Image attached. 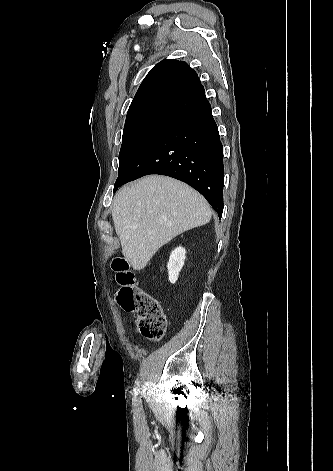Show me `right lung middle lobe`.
<instances>
[{
  "label": "right lung middle lobe",
  "instance_id": "1",
  "mask_svg": "<svg viewBox=\"0 0 333 471\" xmlns=\"http://www.w3.org/2000/svg\"><path fill=\"white\" fill-rule=\"evenodd\" d=\"M174 121L175 118L161 115H138L126 118L119 153L118 178L149 143Z\"/></svg>",
  "mask_w": 333,
  "mask_h": 471
}]
</instances>
